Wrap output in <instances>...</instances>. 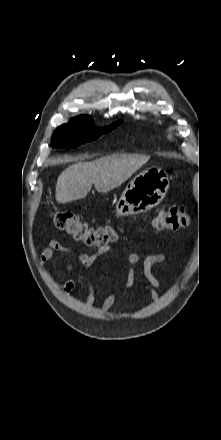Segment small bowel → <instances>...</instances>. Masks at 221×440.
<instances>
[{
	"mask_svg": "<svg viewBox=\"0 0 221 440\" xmlns=\"http://www.w3.org/2000/svg\"><path fill=\"white\" fill-rule=\"evenodd\" d=\"M109 250L108 247L98 249L95 253H79L77 254V260L80 264V266L84 270H90L97 258L102 255L103 253L107 252ZM67 252L70 251L67 247L61 245L57 241L51 240L49 242L48 247L42 250L40 254V265H44L46 262L51 260L52 258L59 255L60 252ZM141 260V254L138 252H133L129 254L128 256V267L126 270V280H127V287H132L135 285V277L137 273L136 265ZM166 261V256L162 253H150L147 254L143 261H142V271L143 275L146 279V283L139 284L138 289L142 291L143 293L150 296L152 301H156L158 299V291L160 289V282L155 276L153 272V267L155 265L162 264ZM65 269L68 272H73L75 267L73 263L67 259L64 258L63 260ZM76 287V282L73 279H70L65 282L63 286V292L65 294L71 293ZM95 297V290L93 285L90 283L88 286V297L85 301L86 306H90L94 302ZM116 294L114 292L110 293L105 300L103 301L101 305L102 311L109 310L114 303L116 302Z\"/></svg>",
	"mask_w": 221,
	"mask_h": 440,
	"instance_id": "1",
	"label": "small bowel"
}]
</instances>
